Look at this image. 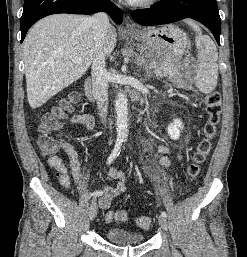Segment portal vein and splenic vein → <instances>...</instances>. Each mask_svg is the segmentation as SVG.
<instances>
[{
	"instance_id": "portal-vein-and-splenic-vein-1",
	"label": "portal vein and splenic vein",
	"mask_w": 247,
	"mask_h": 257,
	"mask_svg": "<svg viewBox=\"0 0 247 257\" xmlns=\"http://www.w3.org/2000/svg\"><path fill=\"white\" fill-rule=\"evenodd\" d=\"M74 61H80V58H75Z\"/></svg>"
}]
</instances>
